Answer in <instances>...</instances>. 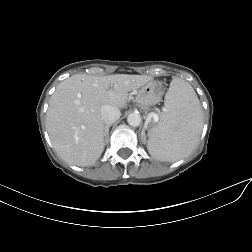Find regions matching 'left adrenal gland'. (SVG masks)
<instances>
[{
	"mask_svg": "<svg viewBox=\"0 0 252 252\" xmlns=\"http://www.w3.org/2000/svg\"><path fill=\"white\" fill-rule=\"evenodd\" d=\"M142 135H143V138H144V141L146 140V136H145V134L144 133H142Z\"/></svg>",
	"mask_w": 252,
	"mask_h": 252,
	"instance_id": "1",
	"label": "left adrenal gland"
}]
</instances>
